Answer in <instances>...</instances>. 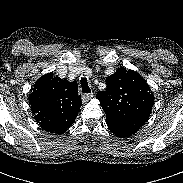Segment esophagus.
I'll list each match as a JSON object with an SVG mask.
<instances>
[{"mask_svg": "<svg viewBox=\"0 0 183 183\" xmlns=\"http://www.w3.org/2000/svg\"><path fill=\"white\" fill-rule=\"evenodd\" d=\"M93 97V93H84L82 95V101L83 103L88 102Z\"/></svg>", "mask_w": 183, "mask_h": 183, "instance_id": "34e87169", "label": "esophagus"}]
</instances>
